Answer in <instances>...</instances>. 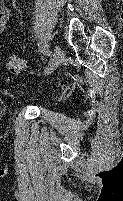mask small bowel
I'll return each mask as SVG.
<instances>
[{"label": "small bowel", "mask_w": 123, "mask_h": 201, "mask_svg": "<svg viewBox=\"0 0 123 201\" xmlns=\"http://www.w3.org/2000/svg\"><path fill=\"white\" fill-rule=\"evenodd\" d=\"M10 19V9L8 6H0V33H2Z\"/></svg>", "instance_id": "1"}]
</instances>
